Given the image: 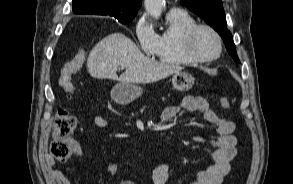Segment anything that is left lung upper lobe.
Listing matches in <instances>:
<instances>
[{
    "mask_svg": "<svg viewBox=\"0 0 293 184\" xmlns=\"http://www.w3.org/2000/svg\"><path fill=\"white\" fill-rule=\"evenodd\" d=\"M180 4L202 17L222 37L232 58L239 62L233 37L227 29L225 12L221 0H183Z\"/></svg>",
    "mask_w": 293,
    "mask_h": 184,
    "instance_id": "1",
    "label": "left lung upper lobe"
}]
</instances>
